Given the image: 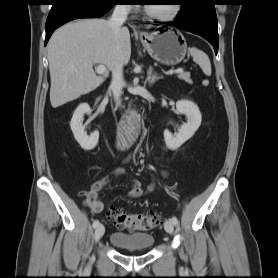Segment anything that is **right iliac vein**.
I'll use <instances>...</instances> for the list:
<instances>
[{
	"label": "right iliac vein",
	"instance_id": "63e3f726",
	"mask_svg": "<svg viewBox=\"0 0 278 278\" xmlns=\"http://www.w3.org/2000/svg\"><path fill=\"white\" fill-rule=\"evenodd\" d=\"M105 228L103 225H99L95 230V241H99L104 235Z\"/></svg>",
	"mask_w": 278,
	"mask_h": 278
}]
</instances>
